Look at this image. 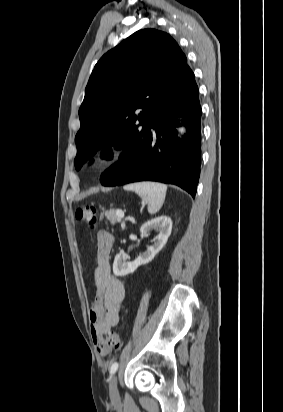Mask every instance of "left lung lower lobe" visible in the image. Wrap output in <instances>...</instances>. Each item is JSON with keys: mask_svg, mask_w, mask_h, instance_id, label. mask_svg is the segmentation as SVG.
Wrapping results in <instances>:
<instances>
[{"mask_svg": "<svg viewBox=\"0 0 283 412\" xmlns=\"http://www.w3.org/2000/svg\"><path fill=\"white\" fill-rule=\"evenodd\" d=\"M184 117L187 133L176 137V118ZM201 107L191 71L155 114L149 128L130 136L120 160L101 177L104 186L137 181L174 184L195 197L200 175Z\"/></svg>", "mask_w": 283, "mask_h": 412, "instance_id": "1", "label": "left lung lower lobe"}]
</instances>
